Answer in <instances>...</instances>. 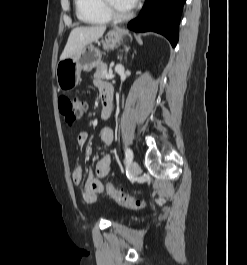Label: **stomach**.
<instances>
[{
	"label": "stomach",
	"instance_id": "stomach-1",
	"mask_svg": "<svg viewBox=\"0 0 247 265\" xmlns=\"http://www.w3.org/2000/svg\"><path fill=\"white\" fill-rule=\"evenodd\" d=\"M126 31L114 29L107 33L102 44L105 50L113 49L124 37ZM102 52L88 44L72 57L60 60L56 66V80L59 89L71 91L80 80L82 70L90 71L101 64Z\"/></svg>",
	"mask_w": 247,
	"mask_h": 265
}]
</instances>
